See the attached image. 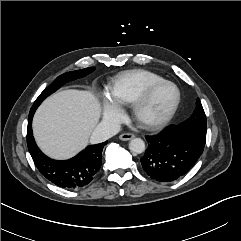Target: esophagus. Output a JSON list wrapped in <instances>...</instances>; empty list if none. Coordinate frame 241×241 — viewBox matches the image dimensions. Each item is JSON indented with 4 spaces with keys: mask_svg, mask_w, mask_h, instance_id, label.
<instances>
[{
    "mask_svg": "<svg viewBox=\"0 0 241 241\" xmlns=\"http://www.w3.org/2000/svg\"><path fill=\"white\" fill-rule=\"evenodd\" d=\"M134 138V135L131 133H123L119 136V139L122 141H128Z\"/></svg>",
    "mask_w": 241,
    "mask_h": 241,
    "instance_id": "34e87169",
    "label": "esophagus"
}]
</instances>
